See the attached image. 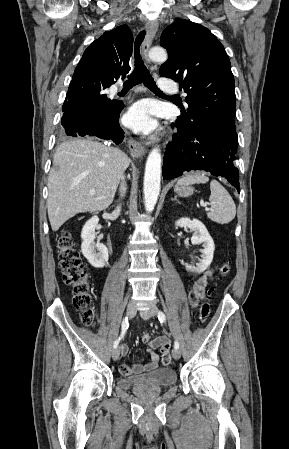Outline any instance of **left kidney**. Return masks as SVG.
<instances>
[{
	"label": "left kidney",
	"instance_id": "obj_1",
	"mask_svg": "<svg viewBox=\"0 0 289 449\" xmlns=\"http://www.w3.org/2000/svg\"><path fill=\"white\" fill-rule=\"evenodd\" d=\"M176 227H187L193 231V236L191 237L192 244H203L204 249L202 250L201 261L195 266L186 264L185 268L189 272L202 273L211 264L213 260L215 245L212 237L209 235L204 224L197 219L181 218L175 222Z\"/></svg>",
	"mask_w": 289,
	"mask_h": 449
}]
</instances>
